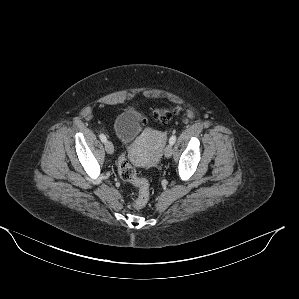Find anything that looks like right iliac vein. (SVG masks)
<instances>
[{"label":"right iliac vein","mask_w":299,"mask_h":299,"mask_svg":"<svg viewBox=\"0 0 299 299\" xmlns=\"http://www.w3.org/2000/svg\"><path fill=\"white\" fill-rule=\"evenodd\" d=\"M105 150L108 154H113L114 152V146L110 141L105 142Z\"/></svg>","instance_id":"obj_1"}]
</instances>
